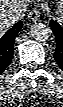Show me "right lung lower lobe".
I'll return each instance as SVG.
<instances>
[{
    "mask_svg": "<svg viewBox=\"0 0 63 107\" xmlns=\"http://www.w3.org/2000/svg\"><path fill=\"white\" fill-rule=\"evenodd\" d=\"M22 26V21H19L0 38V74L12 62L15 37Z\"/></svg>",
    "mask_w": 63,
    "mask_h": 107,
    "instance_id": "right-lung-lower-lobe-1",
    "label": "right lung lower lobe"
}]
</instances>
